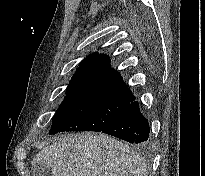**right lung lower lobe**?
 <instances>
[{"instance_id": "1", "label": "right lung lower lobe", "mask_w": 205, "mask_h": 176, "mask_svg": "<svg viewBox=\"0 0 205 176\" xmlns=\"http://www.w3.org/2000/svg\"><path fill=\"white\" fill-rule=\"evenodd\" d=\"M101 132L134 144H144L149 137L148 120L141 114L138 102L129 103L122 115Z\"/></svg>"}]
</instances>
